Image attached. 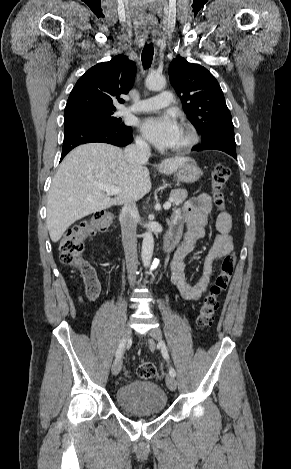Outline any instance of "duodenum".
<instances>
[{
    "mask_svg": "<svg viewBox=\"0 0 291 469\" xmlns=\"http://www.w3.org/2000/svg\"><path fill=\"white\" fill-rule=\"evenodd\" d=\"M178 237L179 232L176 229L170 227L166 232V235L163 240V251L165 253H170L174 249L178 241Z\"/></svg>",
    "mask_w": 291,
    "mask_h": 469,
    "instance_id": "obj_1",
    "label": "duodenum"
}]
</instances>
